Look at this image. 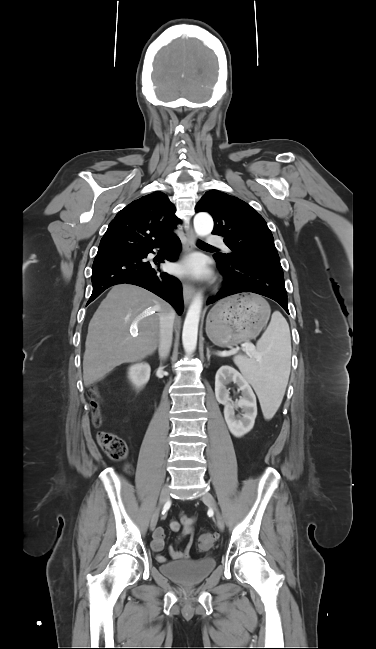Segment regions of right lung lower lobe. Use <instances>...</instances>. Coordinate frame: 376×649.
Listing matches in <instances>:
<instances>
[{
    "instance_id": "1",
    "label": "right lung lower lobe",
    "mask_w": 376,
    "mask_h": 649,
    "mask_svg": "<svg viewBox=\"0 0 376 649\" xmlns=\"http://www.w3.org/2000/svg\"><path fill=\"white\" fill-rule=\"evenodd\" d=\"M154 248L162 249L163 259L176 261L181 250V242L176 235H173L134 253L96 257L92 267L93 291L88 303L110 286L128 283L155 293L169 302L181 315L184 305L180 281L161 271L159 266L155 268L153 262L145 260L149 253H153Z\"/></svg>"
}]
</instances>
